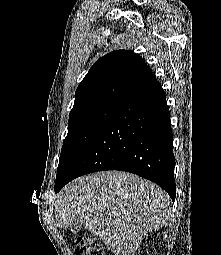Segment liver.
Instances as JSON below:
<instances>
[{
    "instance_id": "6515ba94",
    "label": "liver",
    "mask_w": 221,
    "mask_h": 255,
    "mask_svg": "<svg viewBox=\"0 0 221 255\" xmlns=\"http://www.w3.org/2000/svg\"><path fill=\"white\" fill-rule=\"evenodd\" d=\"M57 225L76 219L115 255H135L147 232L171 214L170 197L156 184L127 172L103 171L77 178L55 200Z\"/></svg>"
}]
</instances>
